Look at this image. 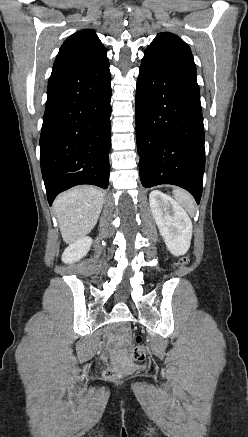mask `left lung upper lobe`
I'll list each match as a JSON object with an SVG mask.
<instances>
[{"label": "left lung upper lobe", "instance_id": "left-lung-upper-lobe-1", "mask_svg": "<svg viewBox=\"0 0 248 437\" xmlns=\"http://www.w3.org/2000/svg\"><path fill=\"white\" fill-rule=\"evenodd\" d=\"M141 65L196 80V67L189 46L172 33L157 35L147 47Z\"/></svg>", "mask_w": 248, "mask_h": 437}]
</instances>
